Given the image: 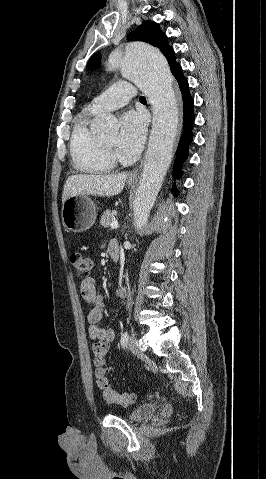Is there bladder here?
<instances>
[{
  "label": "bladder",
  "mask_w": 266,
  "mask_h": 479,
  "mask_svg": "<svg viewBox=\"0 0 266 479\" xmlns=\"http://www.w3.org/2000/svg\"><path fill=\"white\" fill-rule=\"evenodd\" d=\"M156 412V405L153 403L141 404L126 414V419L131 422H140L152 417Z\"/></svg>",
  "instance_id": "1"
}]
</instances>
